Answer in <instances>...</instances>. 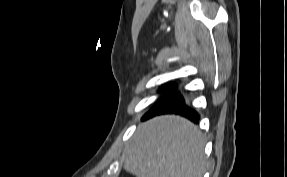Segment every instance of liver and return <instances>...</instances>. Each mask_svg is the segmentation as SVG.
Segmentation results:
<instances>
[{
	"mask_svg": "<svg viewBox=\"0 0 287 177\" xmlns=\"http://www.w3.org/2000/svg\"><path fill=\"white\" fill-rule=\"evenodd\" d=\"M204 145L201 131L189 120L157 116L139 125L122 164L137 177H202Z\"/></svg>",
	"mask_w": 287,
	"mask_h": 177,
	"instance_id": "obj_1",
	"label": "liver"
}]
</instances>
